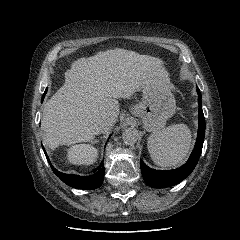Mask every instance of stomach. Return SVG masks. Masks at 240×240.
Segmentation results:
<instances>
[{"instance_id":"obj_1","label":"stomach","mask_w":240,"mask_h":240,"mask_svg":"<svg viewBox=\"0 0 240 240\" xmlns=\"http://www.w3.org/2000/svg\"><path fill=\"white\" fill-rule=\"evenodd\" d=\"M143 100L132 108V113L140 117L147 131L163 128L168 118L176 111L175 98L169 81L154 79L142 86Z\"/></svg>"}]
</instances>
